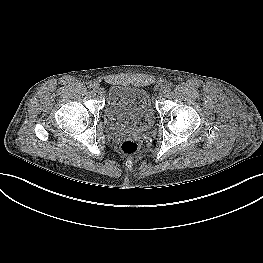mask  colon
<instances>
[{"label":"colon","instance_id":"1","mask_svg":"<svg viewBox=\"0 0 263 263\" xmlns=\"http://www.w3.org/2000/svg\"><path fill=\"white\" fill-rule=\"evenodd\" d=\"M121 151L125 154V155H134L139 151V146L138 144L133 141V140H125L122 144H121Z\"/></svg>","mask_w":263,"mask_h":263}]
</instances>
